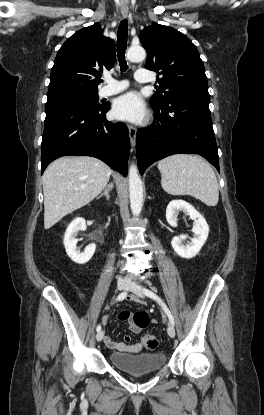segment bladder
I'll return each mask as SVG.
<instances>
[{
	"label": "bladder",
	"instance_id": "obj_1",
	"mask_svg": "<svg viewBox=\"0 0 264 415\" xmlns=\"http://www.w3.org/2000/svg\"><path fill=\"white\" fill-rule=\"evenodd\" d=\"M166 359V354L163 352L138 354L113 352L109 356L114 367L134 375L157 371L165 365Z\"/></svg>",
	"mask_w": 264,
	"mask_h": 415
}]
</instances>
